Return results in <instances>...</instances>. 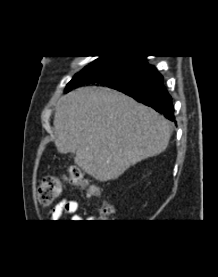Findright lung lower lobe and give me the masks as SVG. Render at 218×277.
<instances>
[{
  "label": "right lung lower lobe",
  "instance_id": "98d812e1",
  "mask_svg": "<svg viewBox=\"0 0 218 277\" xmlns=\"http://www.w3.org/2000/svg\"><path fill=\"white\" fill-rule=\"evenodd\" d=\"M90 83L101 85V80L97 74H86L77 85ZM114 89L152 107L159 113L164 114L169 120L175 121L171 96L163 85V77L157 72L155 67H152L146 74L133 83Z\"/></svg>",
  "mask_w": 218,
  "mask_h": 277
}]
</instances>
